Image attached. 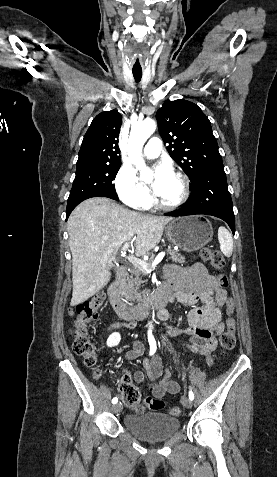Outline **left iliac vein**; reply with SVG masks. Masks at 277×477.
<instances>
[{
    "label": "left iliac vein",
    "mask_w": 277,
    "mask_h": 477,
    "mask_svg": "<svg viewBox=\"0 0 277 477\" xmlns=\"http://www.w3.org/2000/svg\"><path fill=\"white\" fill-rule=\"evenodd\" d=\"M182 404L185 408L190 409L193 405L192 400L188 397L182 399Z\"/></svg>",
    "instance_id": "obj_1"
}]
</instances>
